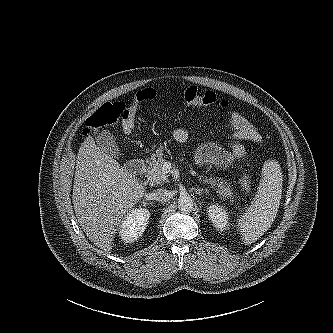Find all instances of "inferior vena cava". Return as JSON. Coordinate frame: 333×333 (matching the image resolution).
Wrapping results in <instances>:
<instances>
[{"mask_svg":"<svg viewBox=\"0 0 333 333\" xmlns=\"http://www.w3.org/2000/svg\"><path fill=\"white\" fill-rule=\"evenodd\" d=\"M170 197V192L165 189H156L151 193V198L160 202H166Z\"/></svg>","mask_w":333,"mask_h":333,"instance_id":"602c4592","label":"inferior vena cava"}]
</instances>
